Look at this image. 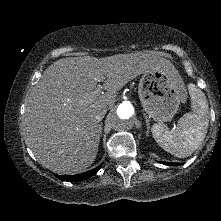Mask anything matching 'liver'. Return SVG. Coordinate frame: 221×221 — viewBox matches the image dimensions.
Here are the masks:
<instances>
[{"label": "liver", "instance_id": "6515ba94", "mask_svg": "<svg viewBox=\"0 0 221 221\" xmlns=\"http://www.w3.org/2000/svg\"><path fill=\"white\" fill-rule=\"evenodd\" d=\"M173 67L167 59L140 52L55 61L26 100L23 119L26 143L37 160L55 173L84 171L98 152L97 113L111 106L117 92L137 76ZM104 76L103 89L107 92L91 100L90 93Z\"/></svg>", "mask_w": 221, "mask_h": 221}]
</instances>
